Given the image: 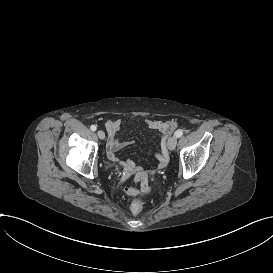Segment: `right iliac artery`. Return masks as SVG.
Returning <instances> with one entry per match:
<instances>
[{"mask_svg":"<svg viewBox=\"0 0 273 273\" xmlns=\"http://www.w3.org/2000/svg\"><path fill=\"white\" fill-rule=\"evenodd\" d=\"M90 129H91L92 131H96L97 127H96L95 125H91Z\"/></svg>","mask_w":273,"mask_h":273,"instance_id":"right-iliac-artery-1","label":"right iliac artery"}]
</instances>
